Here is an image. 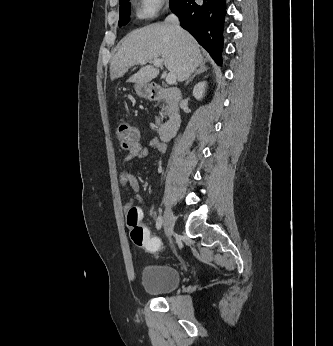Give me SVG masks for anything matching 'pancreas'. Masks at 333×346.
Masks as SVG:
<instances>
[{
    "mask_svg": "<svg viewBox=\"0 0 333 346\" xmlns=\"http://www.w3.org/2000/svg\"><path fill=\"white\" fill-rule=\"evenodd\" d=\"M164 110H165V108H162V112H161L162 114H163V111H164ZM159 123H160L159 119L156 118V124L159 125Z\"/></svg>",
    "mask_w": 333,
    "mask_h": 346,
    "instance_id": "pancreas-1",
    "label": "pancreas"
}]
</instances>
